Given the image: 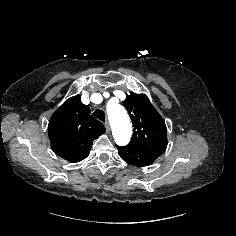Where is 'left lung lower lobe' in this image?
Returning <instances> with one entry per match:
<instances>
[{"label":"left lung lower lobe","mask_w":236,"mask_h":236,"mask_svg":"<svg viewBox=\"0 0 236 236\" xmlns=\"http://www.w3.org/2000/svg\"><path fill=\"white\" fill-rule=\"evenodd\" d=\"M116 147L119 156L125 162L140 167L151 165L165 151L163 149L119 147L117 145Z\"/></svg>","instance_id":"1"}]
</instances>
